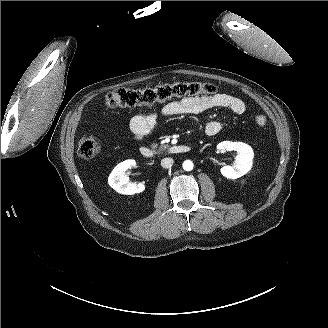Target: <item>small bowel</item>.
I'll list each match as a JSON object with an SVG mask.
<instances>
[{"mask_svg": "<svg viewBox=\"0 0 328 328\" xmlns=\"http://www.w3.org/2000/svg\"><path fill=\"white\" fill-rule=\"evenodd\" d=\"M215 108L229 109L235 114H243L246 105L238 97L229 94L211 96H188L164 105L159 113H139L134 115L128 125L127 133L134 139H142L151 134L158 122L159 115L173 116L180 114H200ZM222 130V123L216 120L209 121L205 126L208 136H215Z\"/></svg>", "mask_w": 328, "mask_h": 328, "instance_id": "c3829d8e", "label": "small bowel"}]
</instances>
